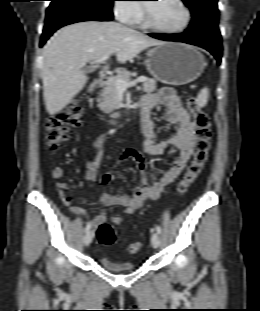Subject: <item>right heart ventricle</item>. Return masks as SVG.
<instances>
[{
  "label": "right heart ventricle",
  "instance_id": "1",
  "mask_svg": "<svg viewBox=\"0 0 260 311\" xmlns=\"http://www.w3.org/2000/svg\"><path fill=\"white\" fill-rule=\"evenodd\" d=\"M133 23L143 25L142 8H141V10H140V14H139L138 17L134 20Z\"/></svg>",
  "mask_w": 260,
  "mask_h": 311
}]
</instances>
